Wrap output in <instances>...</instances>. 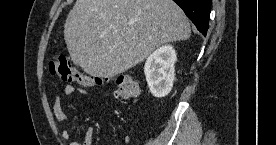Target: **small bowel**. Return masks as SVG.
<instances>
[{
	"label": "small bowel",
	"instance_id": "obj_1",
	"mask_svg": "<svg viewBox=\"0 0 276 145\" xmlns=\"http://www.w3.org/2000/svg\"><path fill=\"white\" fill-rule=\"evenodd\" d=\"M88 92L84 88L75 87L73 85H66L62 92L58 94L53 101L52 111L56 118V120L61 124H68L69 120L67 115L63 110V99L70 95H79L84 96L87 95ZM95 130L93 128H88L84 133V140L82 144H78L76 142H71L70 145H93ZM71 137L70 132L68 130H64L62 132V138L64 140H69Z\"/></svg>",
	"mask_w": 276,
	"mask_h": 145
}]
</instances>
